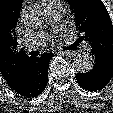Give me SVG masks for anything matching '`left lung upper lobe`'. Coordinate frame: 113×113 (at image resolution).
<instances>
[{"instance_id":"1","label":"left lung upper lobe","mask_w":113,"mask_h":113,"mask_svg":"<svg viewBox=\"0 0 113 113\" xmlns=\"http://www.w3.org/2000/svg\"><path fill=\"white\" fill-rule=\"evenodd\" d=\"M75 13L76 27L82 34L77 42L88 41L91 46L113 52V25L101 0H68Z\"/></svg>"}]
</instances>
